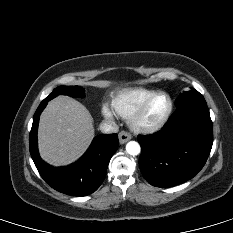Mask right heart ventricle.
<instances>
[{"label": "right heart ventricle", "mask_w": 233, "mask_h": 233, "mask_svg": "<svg viewBox=\"0 0 233 233\" xmlns=\"http://www.w3.org/2000/svg\"><path fill=\"white\" fill-rule=\"evenodd\" d=\"M155 92L153 89L142 87L121 90L112 98V109L117 115L129 118L136 108Z\"/></svg>", "instance_id": "right-heart-ventricle-1"}]
</instances>
